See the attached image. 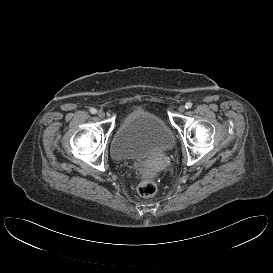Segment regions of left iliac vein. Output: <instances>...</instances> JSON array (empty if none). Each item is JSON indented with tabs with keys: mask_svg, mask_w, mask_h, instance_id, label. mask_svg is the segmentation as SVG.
Listing matches in <instances>:
<instances>
[{
	"mask_svg": "<svg viewBox=\"0 0 273 273\" xmlns=\"http://www.w3.org/2000/svg\"><path fill=\"white\" fill-rule=\"evenodd\" d=\"M178 111H179L180 113H183V112L185 111V107H184V106H180V107L178 108Z\"/></svg>",
	"mask_w": 273,
	"mask_h": 273,
	"instance_id": "left-iliac-vein-1",
	"label": "left iliac vein"
}]
</instances>
